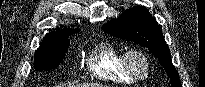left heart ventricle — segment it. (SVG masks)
Wrapping results in <instances>:
<instances>
[{
    "label": "left heart ventricle",
    "mask_w": 205,
    "mask_h": 87,
    "mask_svg": "<svg viewBox=\"0 0 205 87\" xmlns=\"http://www.w3.org/2000/svg\"><path fill=\"white\" fill-rule=\"evenodd\" d=\"M134 67L140 74H143L145 71L144 63L138 59L134 60Z\"/></svg>",
    "instance_id": "left-heart-ventricle-1"
}]
</instances>
